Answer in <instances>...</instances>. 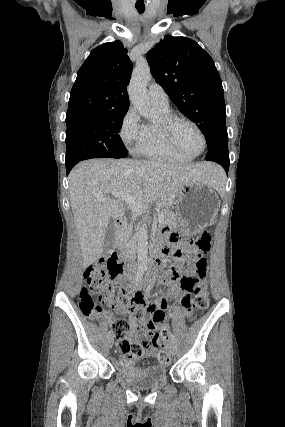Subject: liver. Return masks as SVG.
Returning a JSON list of instances; mask_svg holds the SVG:
<instances>
[{"mask_svg": "<svg viewBox=\"0 0 285 427\" xmlns=\"http://www.w3.org/2000/svg\"><path fill=\"white\" fill-rule=\"evenodd\" d=\"M219 171L220 167L208 162L183 165L107 158L77 164L68 180L83 267L102 256L110 219L124 216L123 201L110 195L124 192L139 202L169 207L184 184L198 181L215 188Z\"/></svg>", "mask_w": 285, "mask_h": 427, "instance_id": "6515ba94", "label": "liver"}]
</instances>
